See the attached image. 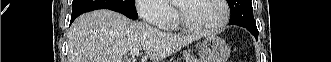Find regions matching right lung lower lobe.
Returning <instances> with one entry per match:
<instances>
[{"mask_svg": "<svg viewBox=\"0 0 331 62\" xmlns=\"http://www.w3.org/2000/svg\"><path fill=\"white\" fill-rule=\"evenodd\" d=\"M80 14H76V15H71V22L70 24L79 16Z\"/></svg>", "mask_w": 331, "mask_h": 62, "instance_id": "98d812e1", "label": "right lung lower lobe"}]
</instances>
